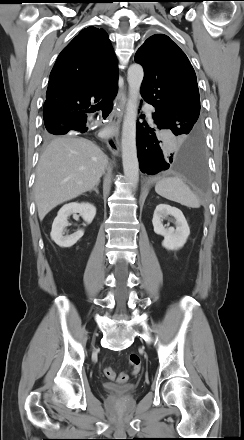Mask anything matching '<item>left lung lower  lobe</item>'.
<instances>
[{"mask_svg":"<svg viewBox=\"0 0 244 440\" xmlns=\"http://www.w3.org/2000/svg\"><path fill=\"white\" fill-rule=\"evenodd\" d=\"M154 126L137 122V151L140 170L149 175L171 169L185 176L197 186L206 179V159L203 133L185 140L177 151L163 138L161 130L169 129L159 115H152Z\"/></svg>","mask_w":244,"mask_h":440,"instance_id":"1","label":"left lung lower lobe"}]
</instances>
